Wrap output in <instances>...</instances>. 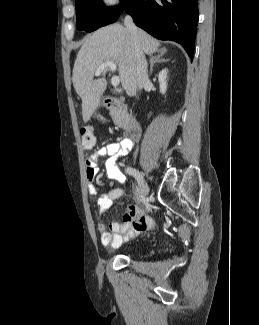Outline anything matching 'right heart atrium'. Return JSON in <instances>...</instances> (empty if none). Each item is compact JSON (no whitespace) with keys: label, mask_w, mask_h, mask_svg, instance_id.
I'll list each match as a JSON object with an SVG mask.
<instances>
[{"label":"right heart atrium","mask_w":259,"mask_h":325,"mask_svg":"<svg viewBox=\"0 0 259 325\" xmlns=\"http://www.w3.org/2000/svg\"><path fill=\"white\" fill-rule=\"evenodd\" d=\"M100 4L106 9H113L120 4V0H100Z\"/></svg>","instance_id":"d8ad5b80"}]
</instances>
